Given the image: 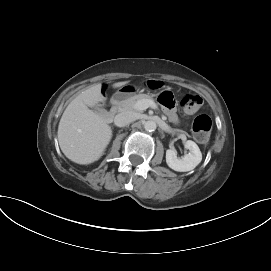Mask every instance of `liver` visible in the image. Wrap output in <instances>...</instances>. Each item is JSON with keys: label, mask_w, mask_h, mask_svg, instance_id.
Listing matches in <instances>:
<instances>
[{"label": "liver", "mask_w": 271, "mask_h": 271, "mask_svg": "<svg viewBox=\"0 0 271 271\" xmlns=\"http://www.w3.org/2000/svg\"><path fill=\"white\" fill-rule=\"evenodd\" d=\"M128 81L113 84L124 86ZM102 84L80 93L65 109L58 126V141L64 155L71 161L87 165L97 161L112 138L111 127L103 117L89 109L101 106L105 98Z\"/></svg>", "instance_id": "6515ba94"}]
</instances>
